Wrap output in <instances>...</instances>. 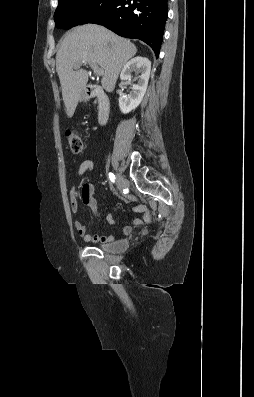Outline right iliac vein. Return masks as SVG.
I'll return each instance as SVG.
<instances>
[{"label": "right iliac vein", "mask_w": 254, "mask_h": 397, "mask_svg": "<svg viewBox=\"0 0 254 397\" xmlns=\"http://www.w3.org/2000/svg\"><path fill=\"white\" fill-rule=\"evenodd\" d=\"M116 185L118 190H122L125 186V179L120 175H116Z\"/></svg>", "instance_id": "1"}]
</instances>
